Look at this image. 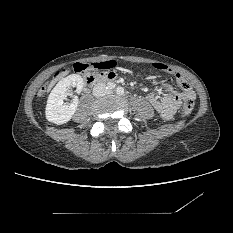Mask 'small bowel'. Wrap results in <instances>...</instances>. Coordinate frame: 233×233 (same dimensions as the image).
I'll return each mask as SVG.
<instances>
[{
	"label": "small bowel",
	"mask_w": 233,
	"mask_h": 233,
	"mask_svg": "<svg viewBox=\"0 0 233 233\" xmlns=\"http://www.w3.org/2000/svg\"><path fill=\"white\" fill-rule=\"evenodd\" d=\"M99 65H104V67H100ZM116 65L114 60H106L92 63L91 68L93 70H107L111 77V82H113L117 78L115 72ZM175 78L177 82L185 80L179 73H175ZM181 96L172 86L162 84L158 90L150 91L147 94V101L160 114L163 120L168 121L173 118L175 112L180 108Z\"/></svg>",
	"instance_id": "1"
}]
</instances>
